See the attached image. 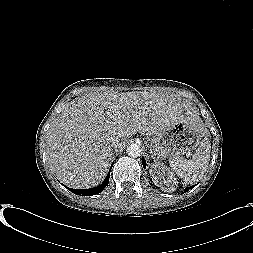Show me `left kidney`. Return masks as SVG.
Returning a JSON list of instances; mask_svg holds the SVG:
<instances>
[{"mask_svg":"<svg viewBox=\"0 0 253 253\" xmlns=\"http://www.w3.org/2000/svg\"><path fill=\"white\" fill-rule=\"evenodd\" d=\"M154 170L152 172V179L161 190L167 192H173L177 185L176 178L173 173L161 163H155L152 165Z\"/></svg>","mask_w":253,"mask_h":253,"instance_id":"1","label":"left kidney"}]
</instances>
